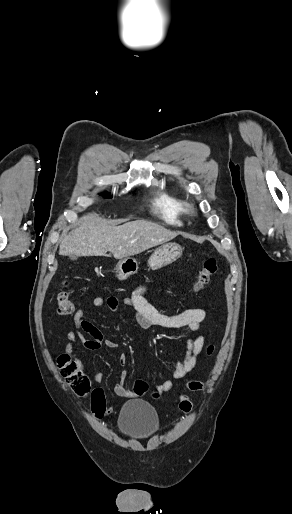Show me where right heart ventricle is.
Returning a JSON list of instances; mask_svg holds the SVG:
<instances>
[{
  "instance_id": "obj_1",
  "label": "right heart ventricle",
  "mask_w": 292,
  "mask_h": 514,
  "mask_svg": "<svg viewBox=\"0 0 292 514\" xmlns=\"http://www.w3.org/2000/svg\"><path fill=\"white\" fill-rule=\"evenodd\" d=\"M150 204L153 213L170 225L183 224L187 215L186 199L179 192L166 187L153 191Z\"/></svg>"
}]
</instances>
